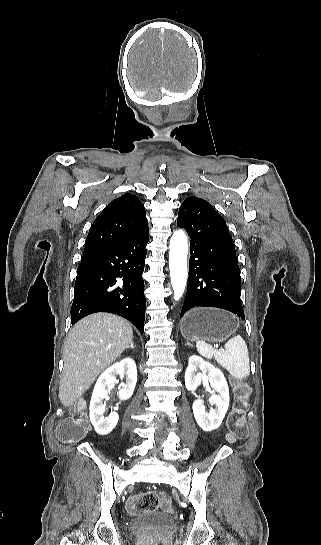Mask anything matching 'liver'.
<instances>
[{
	"label": "liver",
	"mask_w": 321,
	"mask_h": 545,
	"mask_svg": "<svg viewBox=\"0 0 321 545\" xmlns=\"http://www.w3.org/2000/svg\"><path fill=\"white\" fill-rule=\"evenodd\" d=\"M132 339L128 321L110 313H95L76 323L64 347V369L59 385L62 405H74L129 347Z\"/></svg>",
	"instance_id": "6515ba94"
}]
</instances>
